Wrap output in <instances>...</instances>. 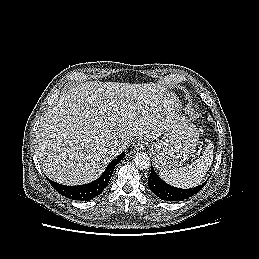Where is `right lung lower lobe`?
Listing matches in <instances>:
<instances>
[{
	"instance_id": "1",
	"label": "right lung lower lobe",
	"mask_w": 259,
	"mask_h": 259,
	"mask_svg": "<svg viewBox=\"0 0 259 259\" xmlns=\"http://www.w3.org/2000/svg\"><path fill=\"white\" fill-rule=\"evenodd\" d=\"M125 153H121L114 159L102 173V175L95 181L78 186H67L49 180L50 184L63 196L72 200H91L98 196L104 188L108 185L116 164L122 160Z\"/></svg>"
}]
</instances>
